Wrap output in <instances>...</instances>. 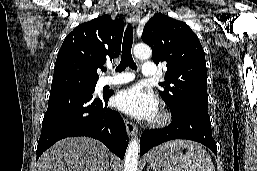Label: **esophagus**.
Here are the masks:
<instances>
[{
    "instance_id": "obj_1",
    "label": "esophagus",
    "mask_w": 257,
    "mask_h": 171,
    "mask_svg": "<svg viewBox=\"0 0 257 171\" xmlns=\"http://www.w3.org/2000/svg\"><path fill=\"white\" fill-rule=\"evenodd\" d=\"M140 19V12L138 7H133L130 12V21L132 24H136ZM126 130L127 133L133 137L137 135L138 129L136 125L130 121H126Z\"/></svg>"
}]
</instances>
